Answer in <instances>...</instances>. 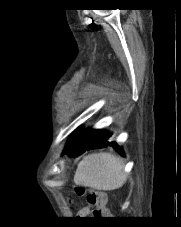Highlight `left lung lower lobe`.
<instances>
[{
  "instance_id": "0a47b994",
  "label": "left lung lower lobe",
  "mask_w": 181,
  "mask_h": 227,
  "mask_svg": "<svg viewBox=\"0 0 181 227\" xmlns=\"http://www.w3.org/2000/svg\"><path fill=\"white\" fill-rule=\"evenodd\" d=\"M111 133L104 130L87 129L70 144L66 146L63 154L67 153L70 156L80 155L87 150L94 148H104L112 146L117 152L123 155L122 148L115 142H109L108 139Z\"/></svg>"
}]
</instances>
